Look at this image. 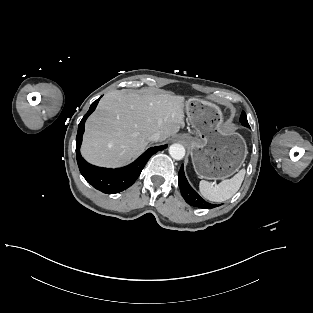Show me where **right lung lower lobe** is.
Segmentation results:
<instances>
[{"label": "right lung lower lobe", "instance_id": "98d812e1", "mask_svg": "<svg viewBox=\"0 0 313 313\" xmlns=\"http://www.w3.org/2000/svg\"><path fill=\"white\" fill-rule=\"evenodd\" d=\"M100 98L94 101L78 126L76 137V157L79 170L86 181L103 193H119L130 187L140 175L149 158L158 151L167 148V145L151 147L133 163L118 169H107L93 166L86 162L80 154L84 124L89 115L95 110Z\"/></svg>", "mask_w": 313, "mask_h": 313}]
</instances>
